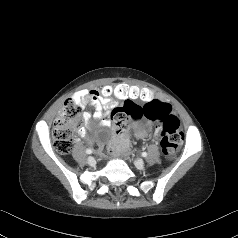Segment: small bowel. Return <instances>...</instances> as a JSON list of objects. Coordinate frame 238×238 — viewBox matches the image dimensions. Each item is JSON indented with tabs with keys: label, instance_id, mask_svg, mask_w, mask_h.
<instances>
[{
	"label": "small bowel",
	"instance_id": "1",
	"mask_svg": "<svg viewBox=\"0 0 238 238\" xmlns=\"http://www.w3.org/2000/svg\"><path fill=\"white\" fill-rule=\"evenodd\" d=\"M126 85V84H125ZM76 103L81 106L91 105L94 109L93 113L86 111L83 113V121L86 127L89 126L91 119H95L101 122L103 126H108L109 122L104 120L106 112L114 109L116 102L111 98H103L99 95L98 90H81L77 92L73 98ZM159 122V121H157ZM85 130L83 127L79 129L80 134H84ZM155 134H159V130L156 129ZM126 147L129 146V139L127 135L124 136Z\"/></svg>",
	"mask_w": 238,
	"mask_h": 238
}]
</instances>
